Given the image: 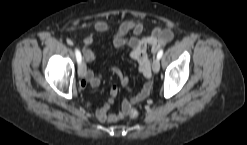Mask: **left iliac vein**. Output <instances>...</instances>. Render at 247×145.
Returning a JSON list of instances; mask_svg holds the SVG:
<instances>
[{"label": "left iliac vein", "mask_w": 247, "mask_h": 145, "mask_svg": "<svg viewBox=\"0 0 247 145\" xmlns=\"http://www.w3.org/2000/svg\"><path fill=\"white\" fill-rule=\"evenodd\" d=\"M152 69L154 73H158L160 70V62L159 59L156 58L154 59L153 63H152Z\"/></svg>", "instance_id": "1"}]
</instances>
